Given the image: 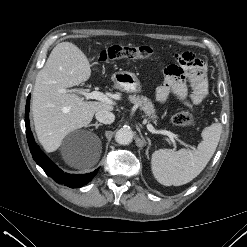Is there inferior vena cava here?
<instances>
[{"label":"inferior vena cava","instance_id":"obj_1","mask_svg":"<svg viewBox=\"0 0 247 247\" xmlns=\"http://www.w3.org/2000/svg\"><path fill=\"white\" fill-rule=\"evenodd\" d=\"M95 117L97 121L104 124H111L115 120V115L107 110H99L96 112Z\"/></svg>","mask_w":247,"mask_h":247}]
</instances>
